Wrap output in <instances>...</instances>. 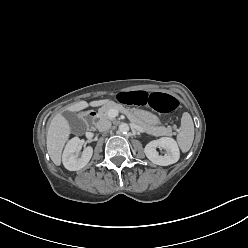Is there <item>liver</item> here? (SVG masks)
<instances>
[{
    "mask_svg": "<svg viewBox=\"0 0 248 248\" xmlns=\"http://www.w3.org/2000/svg\"><path fill=\"white\" fill-rule=\"evenodd\" d=\"M109 100H98L87 103L86 101H80L73 105H70L67 110L71 112H79L89 106L98 107L108 103ZM71 134V127L67 119L58 113L53 117L49 125L46 137L47 151L51 160L56 166L61 164L62 150L69 139Z\"/></svg>",
    "mask_w": 248,
    "mask_h": 248,
    "instance_id": "obj_1",
    "label": "liver"
}]
</instances>
